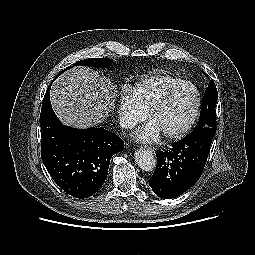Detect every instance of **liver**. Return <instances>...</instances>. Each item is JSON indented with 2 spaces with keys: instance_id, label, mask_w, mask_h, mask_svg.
I'll return each instance as SVG.
<instances>
[{
  "instance_id": "obj_1",
  "label": "liver",
  "mask_w": 255,
  "mask_h": 255,
  "mask_svg": "<svg viewBox=\"0 0 255 255\" xmlns=\"http://www.w3.org/2000/svg\"><path fill=\"white\" fill-rule=\"evenodd\" d=\"M115 98L113 83L85 67L63 73L50 92L51 104L59 119L82 129L94 127L109 116Z\"/></svg>"
}]
</instances>
